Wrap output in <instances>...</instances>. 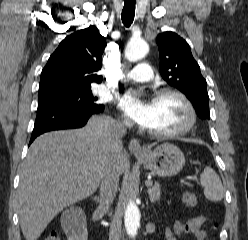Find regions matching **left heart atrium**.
I'll return each mask as SVG.
<instances>
[{
  "instance_id": "obj_1",
  "label": "left heart atrium",
  "mask_w": 248,
  "mask_h": 240,
  "mask_svg": "<svg viewBox=\"0 0 248 240\" xmlns=\"http://www.w3.org/2000/svg\"><path fill=\"white\" fill-rule=\"evenodd\" d=\"M120 108L134 122L144 128H150L155 120L154 100H143L135 91H129L120 100Z\"/></svg>"
}]
</instances>
